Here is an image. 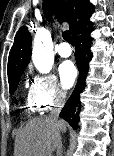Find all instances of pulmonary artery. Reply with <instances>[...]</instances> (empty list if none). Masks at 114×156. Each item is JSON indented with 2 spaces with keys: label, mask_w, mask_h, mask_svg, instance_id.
Returning <instances> with one entry per match:
<instances>
[{
  "label": "pulmonary artery",
  "mask_w": 114,
  "mask_h": 156,
  "mask_svg": "<svg viewBox=\"0 0 114 156\" xmlns=\"http://www.w3.org/2000/svg\"><path fill=\"white\" fill-rule=\"evenodd\" d=\"M57 52L61 57H69L72 54V48L68 43L62 42L59 44Z\"/></svg>",
  "instance_id": "e3ab8cb5"
}]
</instances>
